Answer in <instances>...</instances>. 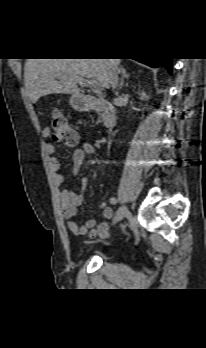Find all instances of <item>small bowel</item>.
Returning <instances> with one entry per match:
<instances>
[{"instance_id":"1","label":"small bowel","mask_w":206,"mask_h":348,"mask_svg":"<svg viewBox=\"0 0 206 348\" xmlns=\"http://www.w3.org/2000/svg\"><path fill=\"white\" fill-rule=\"evenodd\" d=\"M43 135L48 136L49 130L44 129ZM74 152L72 155V173L77 174L80 171L81 165L85 159L86 155L94 154V146L86 141H77L73 144ZM45 152L48 156L49 167L52 171L53 180L57 187L61 188L60 198L61 207L64 217L67 220V226L71 233L74 235H86L88 231L97 225L95 219H87L83 223L79 224L75 221V216L77 215L79 208L83 202L84 197L75 194L70 189H63L65 184V177L60 171L59 160L55 157V147L51 143L45 144ZM81 185L83 189H86L89 185V180L86 177L81 178ZM100 210L104 219L111 218L113 210L110 206L105 203L100 205Z\"/></svg>"}]
</instances>
